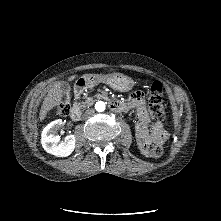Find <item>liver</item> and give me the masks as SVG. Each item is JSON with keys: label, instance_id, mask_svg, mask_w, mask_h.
Listing matches in <instances>:
<instances>
[{"label": "liver", "instance_id": "6515ba94", "mask_svg": "<svg viewBox=\"0 0 221 221\" xmlns=\"http://www.w3.org/2000/svg\"><path fill=\"white\" fill-rule=\"evenodd\" d=\"M75 77L76 75H73L69 78V80H73ZM60 86L61 83L54 84L45 96L39 113V118L41 121L46 118L49 111L62 102L64 93L62 92Z\"/></svg>", "mask_w": 221, "mask_h": 221}]
</instances>
